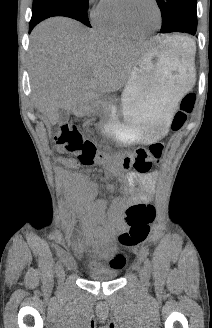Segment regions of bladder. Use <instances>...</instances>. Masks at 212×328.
I'll list each match as a JSON object with an SVG mask.
<instances>
[{
  "label": "bladder",
  "instance_id": "1",
  "mask_svg": "<svg viewBox=\"0 0 212 328\" xmlns=\"http://www.w3.org/2000/svg\"><path fill=\"white\" fill-rule=\"evenodd\" d=\"M85 268L88 276L98 281H110L116 278L118 275L117 272L103 269L94 262L87 263Z\"/></svg>",
  "mask_w": 212,
  "mask_h": 328
}]
</instances>
